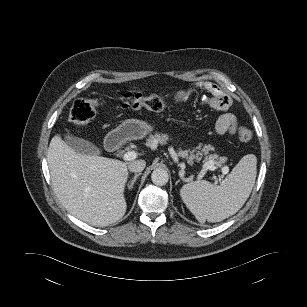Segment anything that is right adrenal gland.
<instances>
[{"instance_id": "2a0ac1e0", "label": "right adrenal gland", "mask_w": 307, "mask_h": 307, "mask_svg": "<svg viewBox=\"0 0 307 307\" xmlns=\"http://www.w3.org/2000/svg\"><path fill=\"white\" fill-rule=\"evenodd\" d=\"M141 175V173H138V174H135L133 179L130 181V184H128V188L129 189H132L133 188V185L134 183L136 182V179Z\"/></svg>"}]
</instances>
